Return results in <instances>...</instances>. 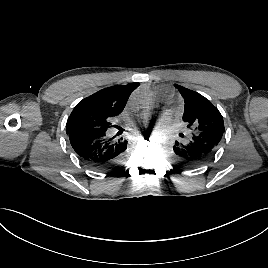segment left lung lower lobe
I'll return each mask as SVG.
<instances>
[{"instance_id": "obj_1", "label": "left lung lower lobe", "mask_w": 268, "mask_h": 268, "mask_svg": "<svg viewBox=\"0 0 268 268\" xmlns=\"http://www.w3.org/2000/svg\"><path fill=\"white\" fill-rule=\"evenodd\" d=\"M223 132L219 130L203 131L193 133L187 141H176L170 151V157L178 167L201 166L215 155Z\"/></svg>"}]
</instances>
